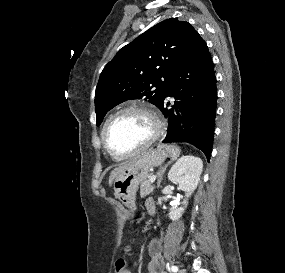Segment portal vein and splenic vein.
<instances>
[{
    "mask_svg": "<svg viewBox=\"0 0 285 273\" xmlns=\"http://www.w3.org/2000/svg\"><path fill=\"white\" fill-rule=\"evenodd\" d=\"M155 180H156V175H152L150 177V182L153 183V182H155Z\"/></svg>",
    "mask_w": 285,
    "mask_h": 273,
    "instance_id": "1",
    "label": "portal vein and splenic vein"
}]
</instances>
